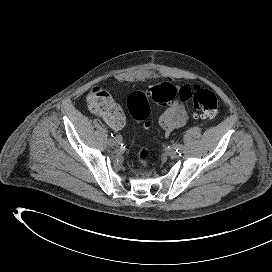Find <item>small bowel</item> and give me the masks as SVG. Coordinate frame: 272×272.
<instances>
[{"label":"small bowel","instance_id":"c3829d8e","mask_svg":"<svg viewBox=\"0 0 272 272\" xmlns=\"http://www.w3.org/2000/svg\"><path fill=\"white\" fill-rule=\"evenodd\" d=\"M95 113L103 117L106 123L114 130H120L125 125V117L119 106L110 98V104L105 113ZM189 110L180 102L174 101L159 116L158 124L165 135L183 126L189 119Z\"/></svg>","mask_w":272,"mask_h":272}]
</instances>
